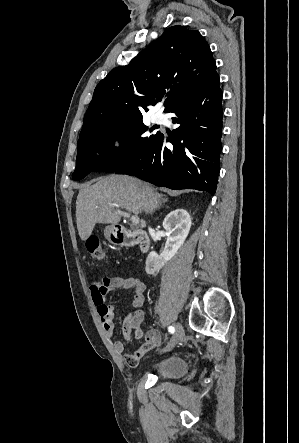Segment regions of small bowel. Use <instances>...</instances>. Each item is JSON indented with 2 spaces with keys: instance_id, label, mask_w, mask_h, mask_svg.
Masks as SVG:
<instances>
[{
  "instance_id": "obj_1",
  "label": "small bowel",
  "mask_w": 299,
  "mask_h": 443,
  "mask_svg": "<svg viewBox=\"0 0 299 443\" xmlns=\"http://www.w3.org/2000/svg\"><path fill=\"white\" fill-rule=\"evenodd\" d=\"M132 290L134 292L131 305L134 308H141L145 302V285L137 277H104L98 281L92 282L89 287L90 296L93 304L95 305L102 321L103 329L109 338L115 337V326L113 322L115 304H106L105 296L110 291L116 290ZM144 319V313L142 310L130 311L127 313L122 324V333L127 341L131 340L134 333L136 338H142L144 336V342L135 349L133 353L123 354L124 344L122 341L115 340L113 342V348L116 353L123 354L124 362L130 366H136L139 359L151 349L160 346L161 335L156 329L148 330L145 335L140 329V324Z\"/></svg>"
}]
</instances>
